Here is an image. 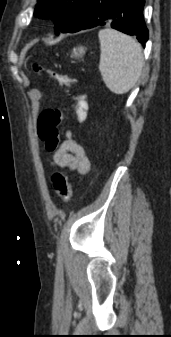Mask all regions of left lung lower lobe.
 Here are the masks:
<instances>
[{
	"label": "left lung lower lobe",
	"mask_w": 171,
	"mask_h": 337,
	"mask_svg": "<svg viewBox=\"0 0 171 337\" xmlns=\"http://www.w3.org/2000/svg\"><path fill=\"white\" fill-rule=\"evenodd\" d=\"M144 3V0H85L76 23L68 32L111 25L121 32L136 35L145 46L148 29L143 19Z\"/></svg>",
	"instance_id": "1"
}]
</instances>
